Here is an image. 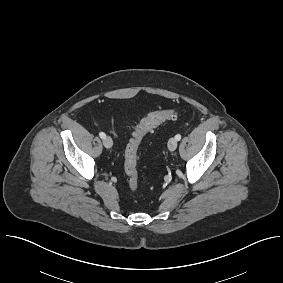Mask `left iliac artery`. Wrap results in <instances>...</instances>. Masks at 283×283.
<instances>
[{"label":"left iliac artery","mask_w":283,"mask_h":283,"mask_svg":"<svg viewBox=\"0 0 283 283\" xmlns=\"http://www.w3.org/2000/svg\"><path fill=\"white\" fill-rule=\"evenodd\" d=\"M175 139H176L177 141H179V140L181 139V135H180V134H177V135L175 136Z\"/></svg>","instance_id":"obj_1"}]
</instances>
